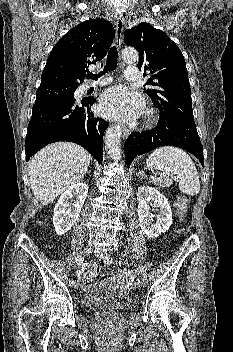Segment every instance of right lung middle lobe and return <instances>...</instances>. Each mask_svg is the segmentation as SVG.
I'll list each match as a JSON object with an SVG mask.
<instances>
[{"label": "right lung middle lobe", "instance_id": "obj_1", "mask_svg": "<svg viewBox=\"0 0 233 352\" xmlns=\"http://www.w3.org/2000/svg\"><path fill=\"white\" fill-rule=\"evenodd\" d=\"M76 89V86L66 85H50L39 87L36 91L35 103L75 100L74 92Z\"/></svg>", "mask_w": 233, "mask_h": 352}]
</instances>
